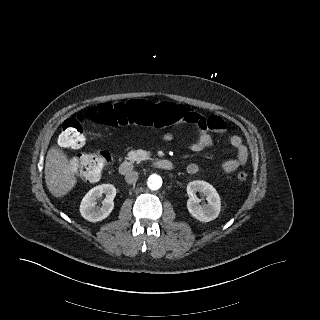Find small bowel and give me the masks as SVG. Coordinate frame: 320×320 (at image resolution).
<instances>
[{
    "label": "small bowel",
    "instance_id": "c3829d8e",
    "mask_svg": "<svg viewBox=\"0 0 320 320\" xmlns=\"http://www.w3.org/2000/svg\"><path fill=\"white\" fill-rule=\"evenodd\" d=\"M181 107L183 116L181 120L176 123L194 124L197 127V137L190 145V149L194 152H200L211 147L214 141L211 131L220 132L225 129V123L222 118L217 116L206 117L200 113L189 111L183 106ZM164 139L169 141L172 139V135L168 133L164 136ZM230 144L236 152V157L222 163L221 168L225 173L235 172L239 167L245 165L248 160V149L240 136H232L230 138ZM186 170L188 174L194 175L198 173L199 165L191 163L187 166Z\"/></svg>",
    "mask_w": 320,
    "mask_h": 320
}]
</instances>
